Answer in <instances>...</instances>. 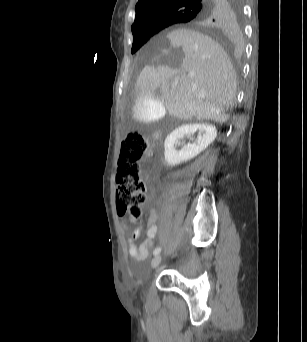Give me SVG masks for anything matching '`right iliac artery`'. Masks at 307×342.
<instances>
[{"mask_svg":"<svg viewBox=\"0 0 307 342\" xmlns=\"http://www.w3.org/2000/svg\"><path fill=\"white\" fill-rule=\"evenodd\" d=\"M160 251H161V248H160V247H157V248L154 250L153 254L156 256V255H158V254L160 253Z\"/></svg>","mask_w":307,"mask_h":342,"instance_id":"82829eb1","label":"right iliac artery"}]
</instances>
